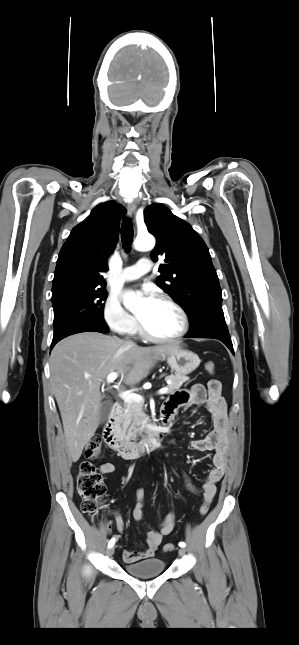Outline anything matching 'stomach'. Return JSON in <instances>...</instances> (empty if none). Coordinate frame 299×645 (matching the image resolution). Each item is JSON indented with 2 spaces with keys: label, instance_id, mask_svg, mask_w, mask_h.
<instances>
[{
  "label": "stomach",
  "instance_id": "0dacf381",
  "mask_svg": "<svg viewBox=\"0 0 299 645\" xmlns=\"http://www.w3.org/2000/svg\"><path fill=\"white\" fill-rule=\"evenodd\" d=\"M168 365L178 375H187L192 373L200 364L197 354L190 350L179 348L163 356Z\"/></svg>",
  "mask_w": 299,
  "mask_h": 645
}]
</instances>
